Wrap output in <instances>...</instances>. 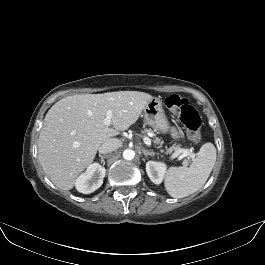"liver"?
Listing matches in <instances>:
<instances>
[{"mask_svg": "<svg viewBox=\"0 0 265 265\" xmlns=\"http://www.w3.org/2000/svg\"><path fill=\"white\" fill-rule=\"evenodd\" d=\"M153 97L138 91L84 94L65 97L47 112L38 142L40 163L62 190L74 187L89 167L99 147L127 130ZM112 111V126L104 124Z\"/></svg>", "mask_w": 265, "mask_h": 265, "instance_id": "6515ba94", "label": "liver"}]
</instances>
